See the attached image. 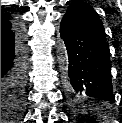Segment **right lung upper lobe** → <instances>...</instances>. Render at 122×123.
Segmentation results:
<instances>
[{
  "instance_id": "1",
  "label": "right lung upper lobe",
  "mask_w": 122,
  "mask_h": 123,
  "mask_svg": "<svg viewBox=\"0 0 122 123\" xmlns=\"http://www.w3.org/2000/svg\"><path fill=\"white\" fill-rule=\"evenodd\" d=\"M5 21H13V17H11L7 13H2L1 14V22H5Z\"/></svg>"
}]
</instances>
